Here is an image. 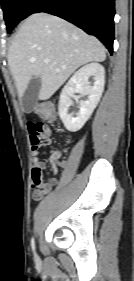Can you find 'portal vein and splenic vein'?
Returning <instances> with one entry per match:
<instances>
[{
	"label": "portal vein and splenic vein",
	"instance_id": "obj_1",
	"mask_svg": "<svg viewBox=\"0 0 134 281\" xmlns=\"http://www.w3.org/2000/svg\"><path fill=\"white\" fill-rule=\"evenodd\" d=\"M44 62H45V63H48V62H49V60H48V59H45V60H44Z\"/></svg>",
	"mask_w": 134,
	"mask_h": 281
}]
</instances>
